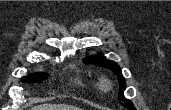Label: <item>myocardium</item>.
Here are the masks:
<instances>
[{
    "label": "myocardium",
    "mask_w": 171,
    "mask_h": 110,
    "mask_svg": "<svg viewBox=\"0 0 171 110\" xmlns=\"http://www.w3.org/2000/svg\"><path fill=\"white\" fill-rule=\"evenodd\" d=\"M100 88H101V90H103V91H108V90L110 89V84H109V82L106 81V80H103V81L101 82V84H100Z\"/></svg>",
    "instance_id": "f54148a6"
}]
</instances>
